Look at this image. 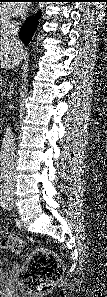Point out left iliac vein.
<instances>
[{
  "mask_svg": "<svg viewBox=\"0 0 107 297\" xmlns=\"http://www.w3.org/2000/svg\"><path fill=\"white\" fill-rule=\"evenodd\" d=\"M6 209H12L13 208V198L11 195H8L7 198H6V205L5 207Z\"/></svg>",
  "mask_w": 107,
  "mask_h": 297,
  "instance_id": "left-iliac-vein-1",
  "label": "left iliac vein"
}]
</instances>
